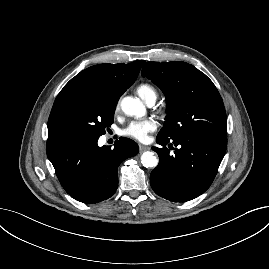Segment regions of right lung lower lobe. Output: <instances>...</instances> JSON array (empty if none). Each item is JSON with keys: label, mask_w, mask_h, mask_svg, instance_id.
I'll list each match as a JSON object with an SVG mask.
<instances>
[{"label": "right lung lower lobe", "mask_w": 269, "mask_h": 269, "mask_svg": "<svg viewBox=\"0 0 269 269\" xmlns=\"http://www.w3.org/2000/svg\"><path fill=\"white\" fill-rule=\"evenodd\" d=\"M98 139H64L47 144V157L64 190L86 204L110 198L118 187L119 164L139 149L131 139L121 137L110 146L99 147Z\"/></svg>", "instance_id": "98d812e1"}]
</instances>
